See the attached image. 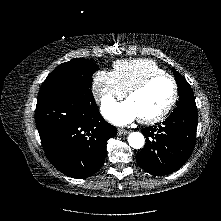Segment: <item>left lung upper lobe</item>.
<instances>
[{"mask_svg": "<svg viewBox=\"0 0 221 221\" xmlns=\"http://www.w3.org/2000/svg\"><path fill=\"white\" fill-rule=\"evenodd\" d=\"M173 73L179 89V100L176 103L177 107L174 111L183 109L197 110L191 86L176 70Z\"/></svg>", "mask_w": 221, "mask_h": 221, "instance_id": "1", "label": "left lung upper lobe"}]
</instances>
